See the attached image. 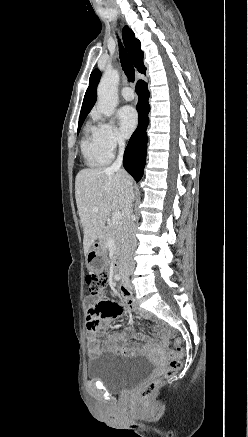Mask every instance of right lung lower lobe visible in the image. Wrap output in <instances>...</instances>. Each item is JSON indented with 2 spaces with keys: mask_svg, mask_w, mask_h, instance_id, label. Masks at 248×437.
Wrapping results in <instances>:
<instances>
[{
  "mask_svg": "<svg viewBox=\"0 0 248 437\" xmlns=\"http://www.w3.org/2000/svg\"><path fill=\"white\" fill-rule=\"evenodd\" d=\"M136 92L139 96L137 111L139 113V125L124 152L123 165L129 174L138 182L144 171L146 162L147 150V135L146 129L148 125V112L150 106L148 104L149 92L147 84L140 80L136 85Z\"/></svg>",
  "mask_w": 248,
  "mask_h": 437,
  "instance_id": "right-lung-lower-lobe-1",
  "label": "right lung lower lobe"
}]
</instances>
